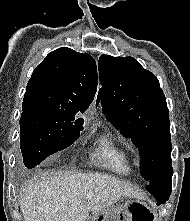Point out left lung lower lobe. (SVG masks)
Masks as SVG:
<instances>
[{"instance_id": "1", "label": "left lung lower lobe", "mask_w": 190, "mask_h": 221, "mask_svg": "<svg viewBox=\"0 0 190 221\" xmlns=\"http://www.w3.org/2000/svg\"><path fill=\"white\" fill-rule=\"evenodd\" d=\"M172 167L157 181L147 185L145 188L156 198L157 205L164 204L170 196L172 189Z\"/></svg>"}]
</instances>
